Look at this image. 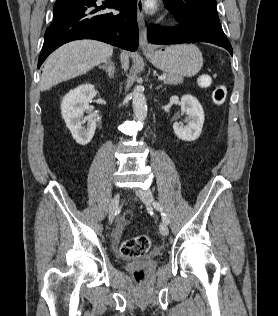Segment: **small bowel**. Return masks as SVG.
Instances as JSON below:
<instances>
[{"label": "small bowel", "instance_id": "obj_1", "mask_svg": "<svg viewBox=\"0 0 278 316\" xmlns=\"http://www.w3.org/2000/svg\"><path fill=\"white\" fill-rule=\"evenodd\" d=\"M128 220V216H125L121 222H120V225L118 226L117 228V232H116V238H119V235H120V232L122 230V227L124 226V224L127 222Z\"/></svg>", "mask_w": 278, "mask_h": 316}]
</instances>
